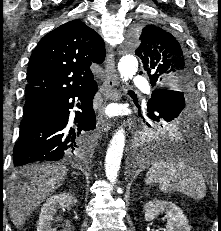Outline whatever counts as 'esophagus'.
I'll list each match as a JSON object with an SVG mask.
<instances>
[{
    "label": "esophagus",
    "instance_id": "34e87169",
    "mask_svg": "<svg viewBox=\"0 0 221 231\" xmlns=\"http://www.w3.org/2000/svg\"><path fill=\"white\" fill-rule=\"evenodd\" d=\"M104 85V98L105 101L116 100L119 97L118 93V77L115 67V59L112 50L110 49L106 56L105 63V77ZM98 124L103 132H108L111 128L110 121L103 115L101 111L98 117Z\"/></svg>",
    "mask_w": 221,
    "mask_h": 231
}]
</instances>
